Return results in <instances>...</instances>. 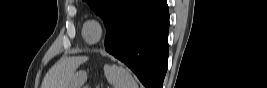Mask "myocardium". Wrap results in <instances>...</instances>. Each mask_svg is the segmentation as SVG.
Segmentation results:
<instances>
[{
    "label": "myocardium",
    "instance_id": "1",
    "mask_svg": "<svg viewBox=\"0 0 267 88\" xmlns=\"http://www.w3.org/2000/svg\"><path fill=\"white\" fill-rule=\"evenodd\" d=\"M89 25H94L97 28V31H98L97 37L95 39H93V40H90L87 37V28H88ZM103 32H104V29H103V26H102L101 22L96 20V19H91V20L86 21L84 23L83 29H82L83 38L89 44H96V43L100 42V40L103 37Z\"/></svg>",
    "mask_w": 267,
    "mask_h": 88
}]
</instances>
